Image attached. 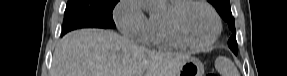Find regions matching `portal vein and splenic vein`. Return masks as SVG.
I'll return each mask as SVG.
<instances>
[{
    "mask_svg": "<svg viewBox=\"0 0 287 76\" xmlns=\"http://www.w3.org/2000/svg\"><path fill=\"white\" fill-rule=\"evenodd\" d=\"M142 74H137V75H135V76H141Z\"/></svg>",
    "mask_w": 287,
    "mask_h": 76,
    "instance_id": "1",
    "label": "portal vein and splenic vein"
}]
</instances>
